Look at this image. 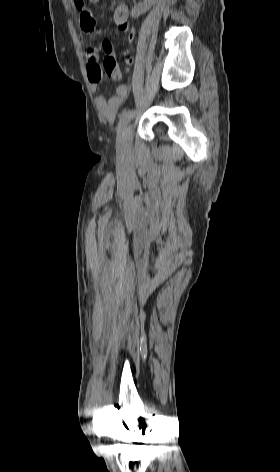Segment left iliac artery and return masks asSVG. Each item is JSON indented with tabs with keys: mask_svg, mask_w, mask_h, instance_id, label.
Masks as SVG:
<instances>
[{
	"mask_svg": "<svg viewBox=\"0 0 280 472\" xmlns=\"http://www.w3.org/2000/svg\"><path fill=\"white\" fill-rule=\"evenodd\" d=\"M135 114V110H128L122 113L120 120L118 122L117 126V139L121 140V138L124 136V131L129 123V121L133 118Z\"/></svg>",
	"mask_w": 280,
	"mask_h": 472,
	"instance_id": "obj_1",
	"label": "left iliac artery"
}]
</instances>
